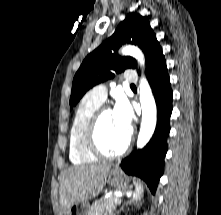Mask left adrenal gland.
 <instances>
[{
	"label": "left adrenal gland",
	"instance_id": "a2214340",
	"mask_svg": "<svg viewBox=\"0 0 221 215\" xmlns=\"http://www.w3.org/2000/svg\"><path fill=\"white\" fill-rule=\"evenodd\" d=\"M132 202H133V200L125 201V202L123 203V205L120 207V209H119L118 212L122 211V210L124 209V206H128V205L131 204Z\"/></svg>",
	"mask_w": 221,
	"mask_h": 215
}]
</instances>
